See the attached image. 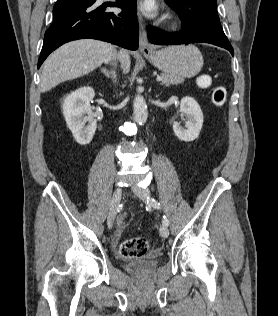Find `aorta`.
<instances>
[{
    "mask_svg": "<svg viewBox=\"0 0 278 316\" xmlns=\"http://www.w3.org/2000/svg\"><path fill=\"white\" fill-rule=\"evenodd\" d=\"M133 116L136 122L143 124L147 121L148 111L146 102L141 95H136L133 101Z\"/></svg>",
    "mask_w": 278,
    "mask_h": 316,
    "instance_id": "762f6f07",
    "label": "aorta"
}]
</instances>
